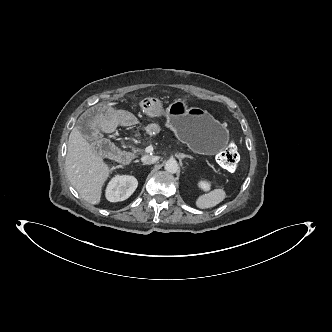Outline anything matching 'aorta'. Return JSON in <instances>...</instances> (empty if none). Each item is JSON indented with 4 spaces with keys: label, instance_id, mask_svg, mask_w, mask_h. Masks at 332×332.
Returning a JSON list of instances; mask_svg holds the SVG:
<instances>
[{
    "label": "aorta",
    "instance_id": "obj_1",
    "mask_svg": "<svg viewBox=\"0 0 332 332\" xmlns=\"http://www.w3.org/2000/svg\"><path fill=\"white\" fill-rule=\"evenodd\" d=\"M165 170L168 173H176L179 169L178 163L175 159H169L166 163H165Z\"/></svg>",
    "mask_w": 332,
    "mask_h": 332
}]
</instances>
